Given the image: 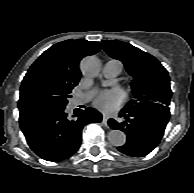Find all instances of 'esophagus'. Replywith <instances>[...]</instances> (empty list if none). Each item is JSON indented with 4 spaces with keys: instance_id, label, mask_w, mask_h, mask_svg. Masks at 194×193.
Segmentation results:
<instances>
[{
    "instance_id": "obj_1",
    "label": "esophagus",
    "mask_w": 194,
    "mask_h": 193,
    "mask_svg": "<svg viewBox=\"0 0 194 193\" xmlns=\"http://www.w3.org/2000/svg\"><path fill=\"white\" fill-rule=\"evenodd\" d=\"M102 122H103L104 125H107V123H108V116L103 115Z\"/></svg>"
}]
</instances>
